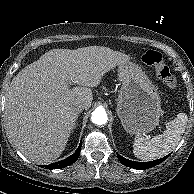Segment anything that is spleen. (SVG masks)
Returning a JSON list of instances; mask_svg holds the SVG:
<instances>
[{
  "label": "spleen",
  "instance_id": "obj_1",
  "mask_svg": "<svg viewBox=\"0 0 194 194\" xmlns=\"http://www.w3.org/2000/svg\"><path fill=\"white\" fill-rule=\"evenodd\" d=\"M187 121V114L179 113L174 120L166 124L163 134L151 139L138 137L133 143L134 155L140 160L150 161L169 154L181 140Z\"/></svg>",
  "mask_w": 194,
  "mask_h": 194
}]
</instances>
